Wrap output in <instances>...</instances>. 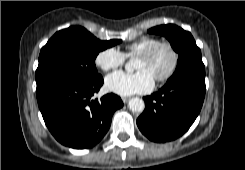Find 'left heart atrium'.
Masks as SVG:
<instances>
[{
    "instance_id": "39dd6f15",
    "label": "left heart atrium",
    "mask_w": 245,
    "mask_h": 170,
    "mask_svg": "<svg viewBox=\"0 0 245 170\" xmlns=\"http://www.w3.org/2000/svg\"><path fill=\"white\" fill-rule=\"evenodd\" d=\"M105 86L109 91L123 96L146 93L153 88L154 78L146 70L134 73L118 71L106 77Z\"/></svg>"
}]
</instances>
